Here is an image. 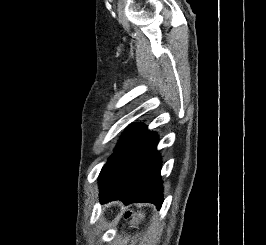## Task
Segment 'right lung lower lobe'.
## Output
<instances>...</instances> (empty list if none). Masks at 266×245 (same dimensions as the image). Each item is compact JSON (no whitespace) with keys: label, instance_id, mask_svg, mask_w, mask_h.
Segmentation results:
<instances>
[{"label":"right lung lower lobe","instance_id":"98d812e1","mask_svg":"<svg viewBox=\"0 0 266 245\" xmlns=\"http://www.w3.org/2000/svg\"><path fill=\"white\" fill-rule=\"evenodd\" d=\"M157 142V135L143 127L116 149L98 179L101 203L118 199L125 205L149 202L160 209L163 188Z\"/></svg>","mask_w":266,"mask_h":245}]
</instances>
